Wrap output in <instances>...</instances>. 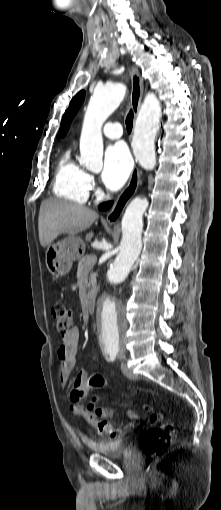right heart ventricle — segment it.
<instances>
[{"label": "right heart ventricle", "instance_id": "e07e8e85", "mask_svg": "<svg viewBox=\"0 0 221 510\" xmlns=\"http://www.w3.org/2000/svg\"><path fill=\"white\" fill-rule=\"evenodd\" d=\"M88 173L66 150L60 157L53 182V193L65 200L84 204L88 198Z\"/></svg>", "mask_w": 221, "mask_h": 510}]
</instances>
